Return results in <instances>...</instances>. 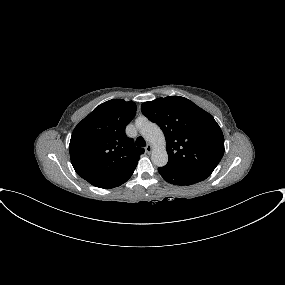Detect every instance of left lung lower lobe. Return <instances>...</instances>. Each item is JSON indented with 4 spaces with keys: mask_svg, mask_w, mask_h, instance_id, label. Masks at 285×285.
<instances>
[{
    "mask_svg": "<svg viewBox=\"0 0 285 285\" xmlns=\"http://www.w3.org/2000/svg\"><path fill=\"white\" fill-rule=\"evenodd\" d=\"M160 175L163 179L174 185H192L203 181L207 178L205 175L195 173H180L164 169L163 167L158 168Z\"/></svg>",
    "mask_w": 285,
    "mask_h": 285,
    "instance_id": "left-lung-lower-lobe-1",
    "label": "left lung lower lobe"
}]
</instances>
